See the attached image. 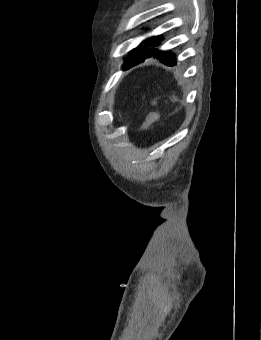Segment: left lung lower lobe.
I'll list each match as a JSON object with an SVG mask.
<instances>
[{"instance_id":"1","label":"left lung lower lobe","mask_w":261,"mask_h":340,"mask_svg":"<svg viewBox=\"0 0 261 340\" xmlns=\"http://www.w3.org/2000/svg\"><path fill=\"white\" fill-rule=\"evenodd\" d=\"M151 55L157 57L158 59L161 60L162 63H164L165 65H168V66H174L177 64L176 62V57H175V54L172 53L171 51H164V52H160V53H149V54H145L144 56H142L141 58L133 61V62H130V63H127L124 65V69H128L142 61L145 60L146 57H150Z\"/></svg>"}]
</instances>
